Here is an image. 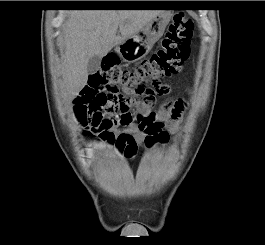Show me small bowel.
<instances>
[{"label": "small bowel", "instance_id": "1", "mask_svg": "<svg viewBox=\"0 0 265 245\" xmlns=\"http://www.w3.org/2000/svg\"><path fill=\"white\" fill-rule=\"evenodd\" d=\"M99 98V94L91 86L86 85L75 99V109L80 118H84L90 111L92 104ZM139 111L144 110L143 105L137 107ZM183 113V104L179 100L165 102L160 109L154 112L157 119L162 120L172 131L177 130L178 122ZM122 127V128H119ZM103 132L109 133L113 141L125 148L126 154L130 157L137 150V142L144 139L138 125L134 122L128 125L114 124L109 127H100ZM98 141L108 143L106 138H99Z\"/></svg>", "mask_w": 265, "mask_h": 245}]
</instances>
